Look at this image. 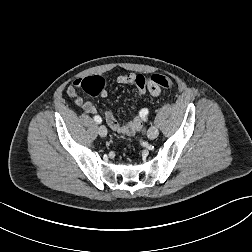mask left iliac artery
I'll list each match as a JSON object with an SVG mask.
<instances>
[{
	"instance_id": "left-iliac-artery-1",
	"label": "left iliac artery",
	"mask_w": 252,
	"mask_h": 252,
	"mask_svg": "<svg viewBox=\"0 0 252 252\" xmlns=\"http://www.w3.org/2000/svg\"><path fill=\"white\" fill-rule=\"evenodd\" d=\"M139 117L142 120L143 125H149L150 119L148 118V112L145 109L140 110Z\"/></svg>"
}]
</instances>
